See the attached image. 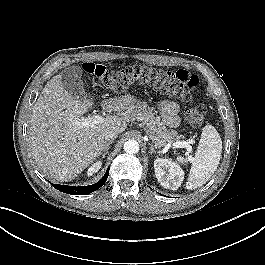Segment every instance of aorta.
Instances as JSON below:
<instances>
[{
  "mask_svg": "<svg viewBox=\"0 0 265 265\" xmlns=\"http://www.w3.org/2000/svg\"><path fill=\"white\" fill-rule=\"evenodd\" d=\"M124 151L128 154H136L139 151V143L136 140H128L124 143Z\"/></svg>",
  "mask_w": 265,
  "mask_h": 265,
  "instance_id": "obj_1",
  "label": "aorta"
}]
</instances>
